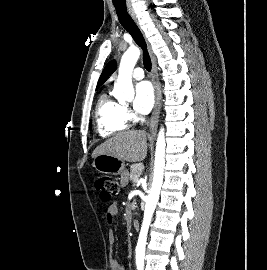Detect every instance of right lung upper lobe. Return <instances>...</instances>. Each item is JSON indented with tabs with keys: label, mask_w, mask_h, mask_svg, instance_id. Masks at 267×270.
<instances>
[{
	"label": "right lung upper lobe",
	"mask_w": 267,
	"mask_h": 270,
	"mask_svg": "<svg viewBox=\"0 0 267 270\" xmlns=\"http://www.w3.org/2000/svg\"><path fill=\"white\" fill-rule=\"evenodd\" d=\"M115 70H116V61L112 60L105 66V68H104V70L99 78L97 88H99Z\"/></svg>",
	"instance_id": "cb5924a9"
}]
</instances>
